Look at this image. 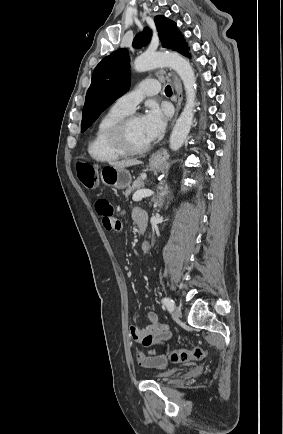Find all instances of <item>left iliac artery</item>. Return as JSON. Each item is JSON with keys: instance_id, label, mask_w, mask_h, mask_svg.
<instances>
[{"instance_id": "left-iliac-artery-1", "label": "left iliac artery", "mask_w": 283, "mask_h": 434, "mask_svg": "<svg viewBox=\"0 0 283 434\" xmlns=\"http://www.w3.org/2000/svg\"><path fill=\"white\" fill-rule=\"evenodd\" d=\"M162 303L166 306V308L169 311H172L174 309V307H175V304H174L173 300H171L170 298H166V297L163 298L162 299Z\"/></svg>"}]
</instances>
